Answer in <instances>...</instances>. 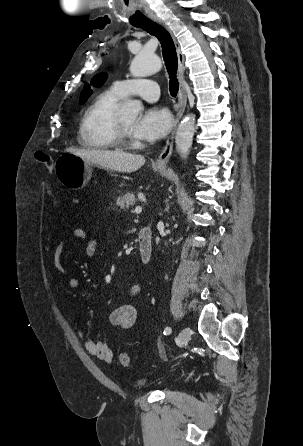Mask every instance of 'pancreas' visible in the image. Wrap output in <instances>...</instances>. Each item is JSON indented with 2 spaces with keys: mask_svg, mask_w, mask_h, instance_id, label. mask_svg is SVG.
<instances>
[{
  "mask_svg": "<svg viewBox=\"0 0 303 446\" xmlns=\"http://www.w3.org/2000/svg\"><path fill=\"white\" fill-rule=\"evenodd\" d=\"M135 202L136 199L133 193H126L117 198V205L124 211L129 210L130 207L134 206Z\"/></svg>",
  "mask_w": 303,
  "mask_h": 446,
  "instance_id": "pancreas-1",
  "label": "pancreas"
}]
</instances>
